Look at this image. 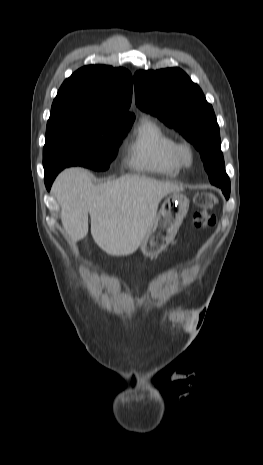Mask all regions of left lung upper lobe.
I'll use <instances>...</instances> for the list:
<instances>
[{
	"label": "left lung upper lobe",
	"mask_w": 263,
	"mask_h": 465,
	"mask_svg": "<svg viewBox=\"0 0 263 465\" xmlns=\"http://www.w3.org/2000/svg\"><path fill=\"white\" fill-rule=\"evenodd\" d=\"M134 86L136 104L142 111L157 116L179 131L200 151L201 157L212 155L219 160L214 185L220 187L228 199L230 180L225 172L219 126L200 87L179 68L138 71L134 75Z\"/></svg>",
	"instance_id": "5c2ea615"
}]
</instances>
